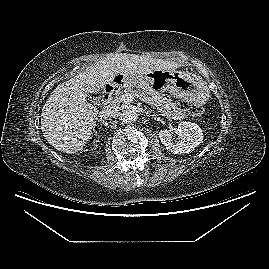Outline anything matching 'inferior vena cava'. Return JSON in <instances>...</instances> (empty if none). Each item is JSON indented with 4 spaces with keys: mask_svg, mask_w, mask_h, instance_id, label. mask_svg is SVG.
<instances>
[{
    "mask_svg": "<svg viewBox=\"0 0 269 269\" xmlns=\"http://www.w3.org/2000/svg\"><path fill=\"white\" fill-rule=\"evenodd\" d=\"M120 110H121L120 106L117 105L116 103L106 106L102 111H100L101 120L106 121L110 120L111 117L115 118L116 116L122 115L119 112Z\"/></svg>",
    "mask_w": 269,
    "mask_h": 269,
    "instance_id": "inferior-vena-cava-1",
    "label": "inferior vena cava"
}]
</instances>
